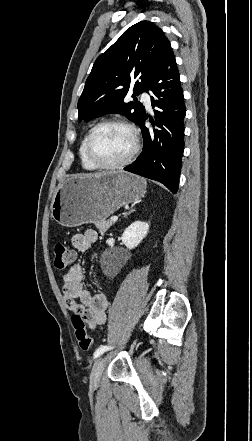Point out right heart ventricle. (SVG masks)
Returning a JSON list of instances; mask_svg holds the SVG:
<instances>
[{
    "label": "right heart ventricle",
    "mask_w": 252,
    "mask_h": 441,
    "mask_svg": "<svg viewBox=\"0 0 252 441\" xmlns=\"http://www.w3.org/2000/svg\"><path fill=\"white\" fill-rule=\"evenodd\" d=\"M88 134H86L84 136V138L82 139L80 146H79V158H80V163L81 166L84 170L87 171H93L96 170L97 168L94 167L87 159L86 155H85V142L87 139Z\"/></svg>",
    "instance_id": "e07e8e85"
}]
</instances>
